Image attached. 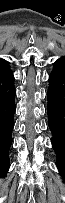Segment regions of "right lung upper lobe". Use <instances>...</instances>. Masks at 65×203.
<instances>
[{"label": "right lung upper lobe", "mask_w": 65, "mask_h": 203, "mask_svg": "<svg viewBox=\"0 0 65 203\" xmlns=\"http://www.w3.org/2000/svg\"><path fill=\"white\" fill-rule=\"evenodd\" d=\"M6 66V65H8V62L7 61H5L4 59H1L0 58V66Z\"/></svg>", "instance_id": "1"}]
</instances>
